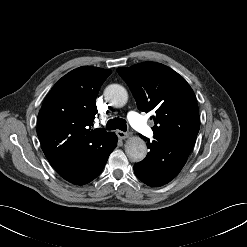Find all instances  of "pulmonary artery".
Listing matches in <instances>:
<instances>
[{
	"label": "pulmonary artery",
	"mask_w": 247,
	"mask_h": 247,
	"mask_svg": "<svg viewBox=\"0 0 247 247\" xmlns=\"http://www.w3.org/2000/svg\"><path fill=\"white\" fill-rule=\"evenodd\" d=\"M128 119L133 127L139 130L141 133L150 136L153 131L149 125L143 120V118L136 112H130L128 114Z\"/></svg>",
	"instance_id": "e3ab8cb5"
}]
</instances>
